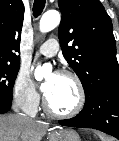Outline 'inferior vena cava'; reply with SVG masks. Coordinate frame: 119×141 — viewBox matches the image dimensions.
Here are the masks:
<instances>
[{"instance_id":"602c4592","label":"inferior vena cava","mask_w":119,"mask_h":141,"mask_svg":"<svg viewBox=\"0 0 119 141\" xmlns=\"http://www.w3.org/2000/svg\"><path fill=\"white\" fill-rule=\"evenodd\" d=\"M12 108L15 112H19V103L17 101H15L12 105Z\"/></svg>"}]
</instances>
